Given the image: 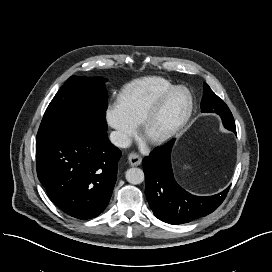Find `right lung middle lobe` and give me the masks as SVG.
Instances as JSON below:
<instances>
[{
	"label": "right lung middle lobe",
	"instance_id": "dd1d6c3e",
	"mask_svg": "<svg viewBox=\"0 0 272 272\" xmlns=\"http://www.w3.org/2000/svg\"><path fill=\"white\" fill-rule=\"evenodd\" d=\"M105 82L101 77H70L47 107L38 135L77 128L94 133L107 131Z\"/></svg>",
	"mask_w": 272,
	"mask_h": 272
}]
</instances>
